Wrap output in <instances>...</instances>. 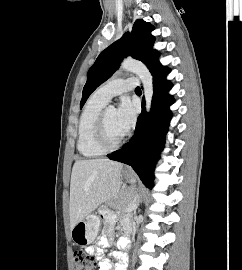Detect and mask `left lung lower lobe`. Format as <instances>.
I'll list each match as a JSON object with an SVG mask.
<instances>
[{
    "label": "left lung lower lobe",
    "mask_w": 242,
    "mask_h": 270,
    "mask_svg": "<svg viewBox=\"0 0 242 270\" xmlns=\"http://www.w3.org/2000/svg\"><path fill=\"white\" fill-rule=\"evenodd\" d=\"M169 71L161 64L151 71L154 93L150 113L145 111L143 98L142 113L138 117L135 134L125 147L107 155L112 160L132 166L149 188L153 186L155 163L163 149L165 134L172 117L169 106L174 103V99L168 94L172 84L165 77Z\"/></svg>",
    "instance_id": "0a47b994"
}]
</instances>
